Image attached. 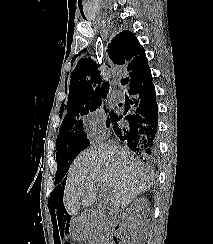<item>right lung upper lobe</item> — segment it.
Wrapping results in <instances>:
<instances>
[{"label": "right lung upper lobe", "mask_w": 213, "mask_h": 244, "mask_svg": "<svg viewBox=\"0 0 213 244\" xmlns=\"http://www.w3.org/2000/svg\"><path fill=\"white\" fill-rule=\"evenodd\" d=\"M108 54L112 63L124 65L130 72V88L149 69L145 50L130 31L124 30L111 40L108 45ZM108 88V83L102 84L98 65L93 61V58L80 59L71 73L65 109L106 97Z\"/></svg>", "instance_id": "obj_1"}]
</instances>
